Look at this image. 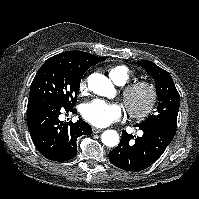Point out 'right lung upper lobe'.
Segmentation results:
<instances>
[{"mask_svg": "<svg viewBox=\"0 0 199 199\" xmlns=\"http://www.w3.org/2000/svg\"><path fill=\"white\" fill-rule=\"evenodd\" d=\"M105 57H98L83 51H66L57 54L48 60L73 71L83 73L92 65L104 61Z\"/></svg>", "mask_w": 199, "mask_h": 199, "instance_id": "1", "label": "right lung upper lobe"}]
</instances>
